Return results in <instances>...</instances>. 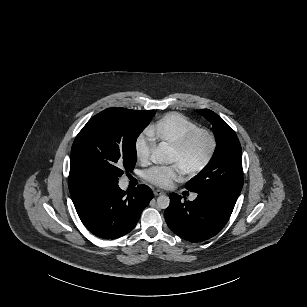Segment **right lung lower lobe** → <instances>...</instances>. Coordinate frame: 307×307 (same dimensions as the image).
Segmentation results:
<instances>
[{"instance_id":"98d812e1","label":"right lung lower lobe","mask_w":307,"mask_h":307,"mask_svg":"<svg viewBox=\"0 0 307 307\" xmlns=\"http://www.w3.org/2000/svg\"><path fill=\"white\" fill-rule=\"evenodd\" d=\"M70 195L85 227L104 239L119 238L130 232L153 198L146 185L129 192L121 190L114 181L76 185L70 189Z\"/></svg>"}]
</instances>
